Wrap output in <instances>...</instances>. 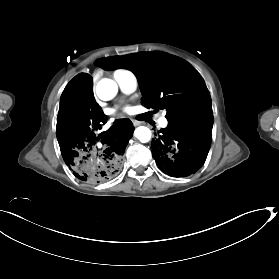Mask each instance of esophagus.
Instances as JSON below:
<instances>
[{"mask_svg": "<svg viewBox=\"0 0 279 279\" xmlns=\"http://www.w3.org/2000/svg\"><path fill=\"white\" fill-rule=\"evenodd\" d=\"M134 126H138L140 123L137 120H132Z\"/></svg>", "mask_w": 279, "mask_h": 279, "instance_id": "esophagus-1", "label": "esophagus"}]
</instances>
